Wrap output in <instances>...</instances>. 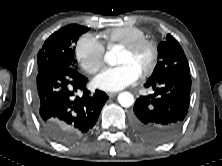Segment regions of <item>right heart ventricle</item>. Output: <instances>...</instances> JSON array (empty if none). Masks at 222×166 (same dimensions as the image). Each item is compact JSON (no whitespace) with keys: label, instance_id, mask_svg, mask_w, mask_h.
Instances as JSON below:
<instances>
[{"label":"right heart ventricle","instance_id":"1","mask_svg":"<svg viewBox=\"0 0 222 166\" xmlns=\"http://www.w3.org/2000/svg\"><path fill=\"white\" fill-rule=\"evenodd\" d=\"M104 38L110 44L126 46L136 41L146 39L145 33L136 27L123 26L112 28L104 33Z\"/></svg>","mask_w":222,"mask_h":166}]
</instances>
